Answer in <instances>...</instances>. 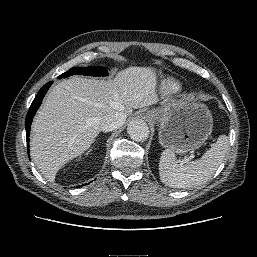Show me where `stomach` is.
Masks as SVG:
<instances>
[{"label": "stomach", "mask_w": 257, "mask_h": 257, "mask_svg": "<svg viewBox=\"0 0 257 257\" xmlns=\"http://www.w3.org/2000/svg\"><path fill=\"white\" fill-rule=\"evenodd\" d=\"M147 117L160 123L159 143L176 154L200 148L213 128L209 109L193 100L167 103Z\"/></svg>", "instance_id": "obj_1"}]
</instances>
